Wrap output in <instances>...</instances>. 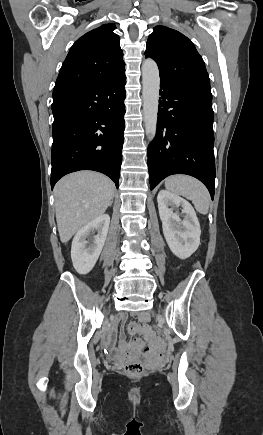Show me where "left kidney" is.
<instances>
[{
  "label": "left kidney",
  "mask_w": 263,
  "mask_h": 435,
  "mask_svg": "<svg viewBox=\"0 0 263 435\" xmlns=\"http://www.w3.org/2000/svg\"><path fill=\"white\" fill-rule=\"evenodd\" d=\"M159 216L166 242L180 259L190 257L200 244V224L192 205L180 196L160 190L157 196ZM181 207L184 219L175 209Z\"/></svg>",
  "instance_id": "1"
}]
</instances>
